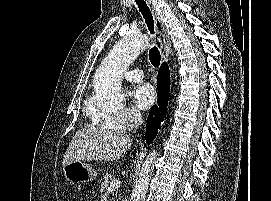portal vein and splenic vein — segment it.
Listing matches in <instances>:
<instances>
[{
  "label": "portal vein and splenic vein",
  "instance_id": "18ae733b",
  "mask_svg": "<svg viewBox=\"0 0 271 201\" xmlns=\"http://www.w3.org/2000/svg\"><path fill=\"white\" fill-rule=\"evenodd\" d=\"M121 182L119 180H114L110 183V186L108 187V190H113V189H116V188H119Z\"/></svg>",
  "mask_w": 271,
  "mask_h": 201
}]
</instances>
